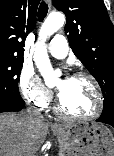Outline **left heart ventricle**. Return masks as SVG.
I'll use <instances>...</instances> for the list:
<instances>
[{
  "instance_id": "obj_1",
  "label": "left heart ventricle",
  "mask_w": 114,
  "mask_h": 156,
  "mask_svg": "<svg viewBox=\"0 0 114 156\" xmlns=\"http://www.w3.org/2000/svg\"><path fill=\"white\" fill-rule=\"evenodd\" d=\"M63 109L72 115L91 114L96 107V95L90 81L86 78H69L57 82Z\"/></svg>"
}]
</instances>
